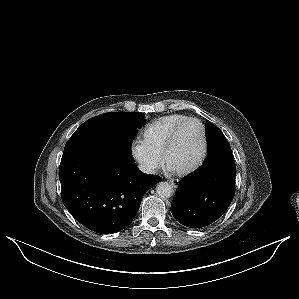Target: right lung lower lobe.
Wrapping results in <instances>:
<instances>
[{
    "label": "right lung lower lobe",
    "instance_id": "1",
    "mask_svg": "<svg viewBox=\"0 0 299 299\" xmlns=\"http://www.w3.org/2000/svg\"><path fill=\"white\" fill-rule=\"evenodd\" d=\"M59 178L67 210L100 234L126 228L137 214L143 195L161 181L141 172L130 153L89 141L66 143Z\"/></svg>",
    "mask_w": 299,
    "mask_h": 299
}]
</instances>
